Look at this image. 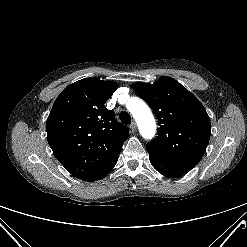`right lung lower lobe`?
Here are the masks:
<instances>
[{"label":"right lung lower lobe","mask_w":247,"mask_h":247,"mask_svg":"<svg viewBox=\"0 0 247 247\" xmlns=\"http://www.w3.org/2000/svg\"><path fill=\"white\" fill-rule=\"evenodd\" d=\"M118 157L116 159H114L112 162H110L109 164H107L106 166H104L103 168H101L100 170H98L97 172H95L94 174H92L91 176L87 177L84 179V181H97L102 179L103 177H105L115 166V164L117 163Z\"/></svg>","instance_id":"obj_1"}]
</instances>
